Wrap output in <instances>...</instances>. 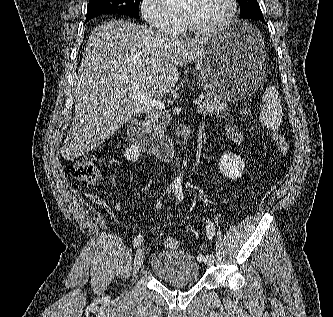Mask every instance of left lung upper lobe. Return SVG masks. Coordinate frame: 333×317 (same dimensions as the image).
Wrapping results in <instances>:
<instances>
[{
  "label": "left lung upper lobe",
  "instance_id": "left-lung-upper-lobe-1",
  "mask_svg": "<svg viewBox=\"0 0 333 317\" xmlns=\"http://www.w3.org/2000/svg\"><path fill=\"white\" fill-rule=\"evenodd\" d=\"M241 8L240 18L242 19H256L263 18L260 6L257 0H238Z\"/></svg>",
  "mask_w": 333,
  "mask_h": 317
}]
</instances>
